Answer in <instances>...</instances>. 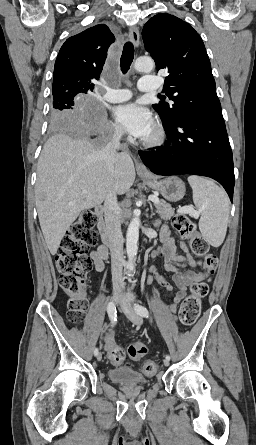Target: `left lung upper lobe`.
Segmentation results:
<instances>
[{
  "instance_id": "left-lung-upper-lobe-1",
  "label": "left lung upper lobe",
  "mask_w": 256,
  "mask_h": 445,
  "mask_svg": "<svg viewBox=\"0 0 256 445\" xmlns=\"http://www.w3.org/2000/svg\"><path fill=\"white\" fill-rule=\"evenodd\" d=\"M142 38L157 70L167 73L165 94L174 101L152 105L163 122L173 121L183 111L222 114L204 43L187 22L157 14L144 25Z\"/></svg>"
}]
</instances>
